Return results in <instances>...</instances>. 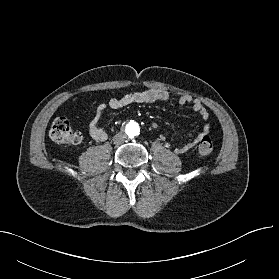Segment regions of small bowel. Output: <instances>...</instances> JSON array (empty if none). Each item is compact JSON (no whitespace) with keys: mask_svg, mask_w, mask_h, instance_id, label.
I'll return each instance as SVG.
<instances>
[{"mask_svg":"<svg viewBox=\"0 0 279 279\" xmlns=\"http://www.w3.org/2000/svg\"><path fill=\"white\" fill-rule=\"evenodd\" d=\"M169 100V93L160 89H145L136 92H130L122 95L121 97H112L107 103H101L96 107L95 114L91 120L88 132L90 136L97 142H103L107 139V132L99 125L101 116L107 107L111 109H120L132 104H143V103H154V102H167ZM180 105L190 104L193 111L198 114L202 120L205 122L203 130L201 133L196 135L192 141L186 145L176 148L175 152L177 154H184L194 148L204 135H208L210 131L209 112L203 103L193 98L190 95L184 94L179 98ZM193 136V134H190Z\"/></svg>","mask_w":279,"mask_h":279,"instance_id":"small-bowel-1","label":"small bowel"}]
</instances>
